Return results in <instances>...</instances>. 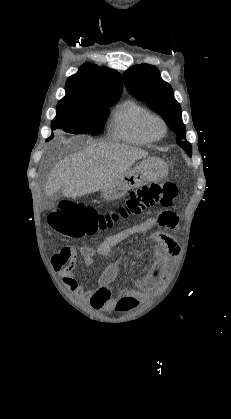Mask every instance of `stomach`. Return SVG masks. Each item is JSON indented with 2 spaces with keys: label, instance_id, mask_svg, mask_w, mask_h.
Instances as JSON below:
<instances>
[{
  "label": "stomach",
  "instance_id": "1",
  "mask_svg": "<svg viewBox=\"0 0 231 419\" xmlns=\"http://www.w3.org/2000/svg\"><path fill=\"white\" fill-rule=\"evenodd\" d=\"M167 172V163L161 158L144 157L112 185L104 188L101 191V197L107 201L120 199L130 189L140 187L148 182L161 181L166 177Z\"/></svg>",
  "mask_w": 231,
  "mask_h": 419
}]
</instances>
